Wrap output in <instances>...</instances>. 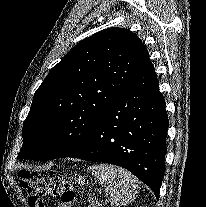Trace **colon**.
I'll use <instances>...</instances> for the list:
<instances>
[{
    "instance_id": "5ec220e1",
    "label": "colon",
    "mask_w": 206,
    "mask_h": 207,
    "mask_svg": "<svg viewBox=\"0 0 206 207\" xmlns=\"http://www.w3.org/2000/svg\"><path fill=\"white\" fill-rule=\"evenodd\" d=\"M21 186L29 194L30 207H45L43 198H59L63 204L76 201V192L71 184L56 171L34 173L20 171Z\"/></svg>"
}]
</instances>
